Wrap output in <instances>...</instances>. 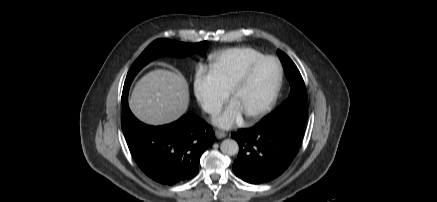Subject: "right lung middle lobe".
<instances>
[{
    "label": "right lung middle lobe",
    "mask_w": 437,
    "mask_h": 202,
    "mask_svg": "<svg viewBox=\"0 0 437 202\" xmlns=\"http://www.w3.org/2000/svg\"><path fill=\"white\" fill-rule=\"evenodd\" d=\"M206 44L207 41L189 44L171 41L168 39H158L152 42L133 63L127 74L122 92V103L126 102L128 99L129 87L136 74L151 60L165 55H171L175 57L190 56L201 50Z\"/></svg>",
    "instance_id": "obj_1"
}]
</instances>
